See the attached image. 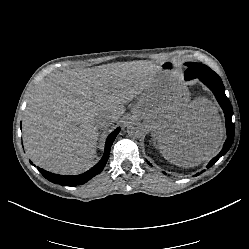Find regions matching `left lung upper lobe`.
<instances>
[{
  "mask_svg": "<svg viewBox=\"0 0 249 249\" xmlns=\"http://www.w3.org/2000/svg\"><path fill=\"white\" fill-rule=\"evenodd\" d=\"M186 66L188 68L185 71V77L189 79L214 76L216 74L208 66L200 63L187 62Z\"/></svg>",
  "mask_w": 249,
  "mask_h": 249,
  "instance_id": "5c2ea615",
  "label": "left lung upper lobe"
}]
</instances>
